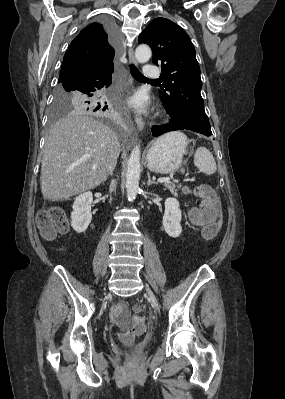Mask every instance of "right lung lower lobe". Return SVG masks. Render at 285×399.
<instances>
[{"label": "right lung lower lobe", "mask_w": 285, "mask_h": 399, "mask_svg": "<svg viewBox=\"0 0 285 399\" xmlns=\"http://www.w3.org/2000/svg\"><path fill=\"white\" fill-rule=\"evenodd\" d=\"M102 24L110 37L112 45L115 47L117 42L115 24L107 19L103 20ZM113 72L114 68L102 70L84 68L63 79L62 84H71L75 88L82 90L89 97H96L102 90L111 85ZM94 106L105 107L103 103L100 105L97 101H94Z\"/></svg>", "instance_id": "1"}]
</instances>
